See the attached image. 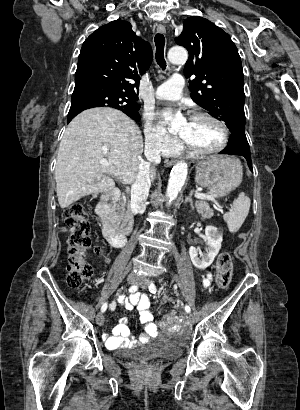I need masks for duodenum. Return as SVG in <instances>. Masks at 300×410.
Returning <instances> with one entry per match:
<instances>
[{
  "mask_svg": "<svg viewBox=\"0 0 300 410\" xmlns=\"http://www.w3.org/2000/svg\"><path fill=\"white\" fill-rule=\"evenodd\" d=\"M121 199V193L113 190L105 196L98 204V214L101 216L102 234L106 241L114 248L126 245L127 236L117 228V210L113 204Z\"/></svg>",
  "mask_w": 300,
  "mask_h": 410,
  "instance_id": "obj_1",
  "label": "duodenum"
}]
</instances>
